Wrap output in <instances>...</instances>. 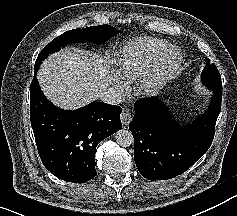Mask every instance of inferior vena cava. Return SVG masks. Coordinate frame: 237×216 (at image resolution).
<instances>
[{
	"label": "inferior vena cava",
	"instance_id": "1",
	"mask_svg": "<svg viewBox=\"0 0 237 216\" xmlns=\"http://www.w3.org/2000/svg\"><path fill=\"white\" fill-rule=\"evenodd\" d=\"M98 99L109 105H119L122 102V95L116 88L108 87L100 92Z\"/></svg>",
	"mask_w": 237,
	"mask_h": 216
}]
</instances>
